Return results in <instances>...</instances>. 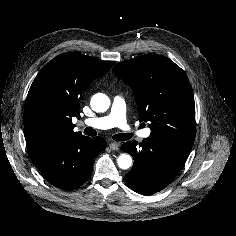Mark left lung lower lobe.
I'll list each match as a JSON object with an SVG mask.
<instances>
[{
    "mask_svg": "<svg viewBox=\"0 0 236 236\" xmlns=\"http://www.w3.org/2000/svg\"><path fill=\"white\" fill-rule=\"evenodd\" d=\"M193 145L149 136L141 143H124L121 149L134 158L127 184L137 193L152 195L164 189L176 177Z\"/></svg>",
    "mask_w": 236,
    "mask_h": 236,
    "instance_id": "0a47b994",
    "label": "left lung lower lobe"
}]
</instances>
